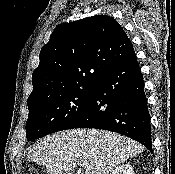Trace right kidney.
Masks as SVG:
<instances>
[{"instance_id":"obj_1","label":"right kidney","mask_w":175,"mask_h":174,"mask_svg":"<svg viewBox=\"0 0 175 174\" xmlns=\"http://www.w3.org/2000/svg\"><path fill=\"white\" fill-rule=\"evenodd\" d=\"M112 174H135V172L130 164H122L117 166Z\"/></svg>"}]
</instances>
